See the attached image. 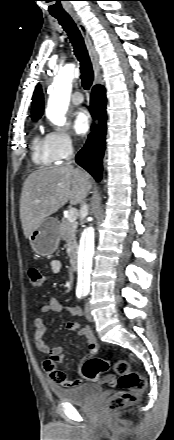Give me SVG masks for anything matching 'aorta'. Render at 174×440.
<instances>
[{
    "label": "aorta",
    "instance_id": "762f6f07",
    "mask_svg": "<svg viewBox=\"0 0 174 440\" xmlns=\"http://www.w3.org/2000/svg\"><path fill=\"white\" fill-rule=\"evenodd\" d=\"M75 65L68 64L60 69L55 76L49 96L46 114L57 126L66 123L65 114L68 109L74 79ZM95 232L92 226L87 227L81 237L78 254V289L89 290L90 274L94 255Z\"/></svg>",
    "mask_w": 174,
    "mask_h": 440
}]
</instances>
